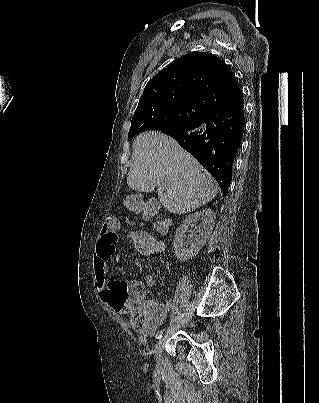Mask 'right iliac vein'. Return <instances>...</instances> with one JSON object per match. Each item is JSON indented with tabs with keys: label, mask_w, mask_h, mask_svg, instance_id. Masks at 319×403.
<instances>
[{
	"label": "right iliac vein",
	"mask_w": 319,
	"mask_h": 403,
	"mask_svg": "<svg viewBox=\"0 0 319 403\" xmlns=\"http://www.w3.org/2000/svg\"><path fill=\"white\" fill-rule=\"evenodd\" d=\"M164 348V339L161 338L157 341L154 347L155 366L157 370L162 368V352Z\"/></svg>",
	"instance_id": "63e3f726"
}]
</instances>
